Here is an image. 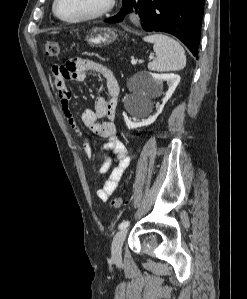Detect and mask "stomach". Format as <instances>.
I'll return each instance as SVG.
<instances>
[{"label": "stomach", "instance_id": "stomach-1", "mask_svg": "<svg viewBox=\"0 0 247 299\" xmlns=\"http://www.w3.org/2000/svg\"><path fill=\"white\" fill-rule=\"evenodd\" d=\"M117 39L116 30L107 27H95L86 37L87 43L93 47H105Z\"/></svg>", "mask_w": 247, "mask_h": 299}]
</instances>
